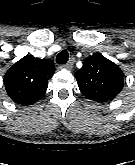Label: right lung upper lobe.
I'll use <instances>...</instances> for the list:
<instances>
[{
	"instance_id": "cb5924a9",
	"label": "right lung upper lobe",
	"mask_w": 135,
	"mask_h": 165,
	"mask_svg": "<svg viewBox=\"0 0 135 165\" xmlns=\"http://www.w3.org/2000/svg\"><path fill=\"white\" fill-rule=\"evenodd\" d=\"M55 72L48 59L27 55L16 62L5 74V88L10 98L21 105H31L45 94L48 80Z\"/></svg>"
}]
</instances>
